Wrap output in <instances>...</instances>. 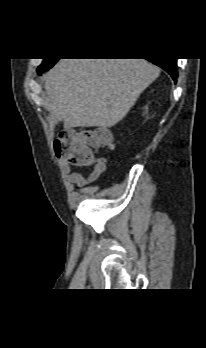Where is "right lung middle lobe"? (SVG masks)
Instances as JSON below:
<instances>
[{"mask_svg": "<svg viewBox=\"0 0 206 348\" xmlns=\"http://www.w3.org/2000/svg\"><path fill=\"white\" fill-rule=\"evenodd\" d=\"M58 59H44L43 63L38 67V73L46 68L52 67Z\"/></svg>", "mask_w": 206, "mask_h": 348, "instance_id": "obj_1", "label": "right lung middle lobe"}]
</instances>
